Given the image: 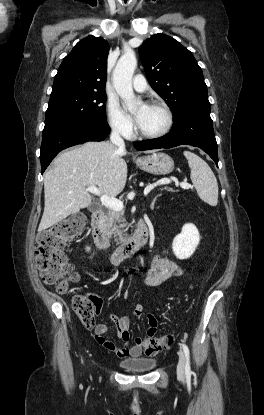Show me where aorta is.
I'll return each mask as SVG.
<instances>
[{"label":"aorta","mask_w":264,"mask_h":415,"mask_svg":"<svg viewBox=\"0 0 264 415\" xmlns=\"http://www.w3.org/2000/svg\"><path fill=\"white\" fill-rule=\"evenodd\" d=\"M137 67V59L133 50L128 49L119 58L113 71V85L119 96L127 104L130 112L135 111L141 101L136 99L132 88V76Z\"/></svg>","instance_id":"762f6f07"}]
</instances>
